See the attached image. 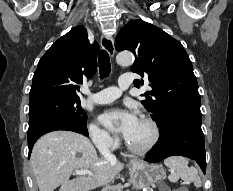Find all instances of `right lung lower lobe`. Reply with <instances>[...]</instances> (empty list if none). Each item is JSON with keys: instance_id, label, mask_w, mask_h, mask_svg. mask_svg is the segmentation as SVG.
I'll list each match as a JSON object with an SVG mask.
<instances>
[{"instance_id": "obj_1", "label": "right lung lower lobe", "mask_w": 233, "mask_h": 191, "mask_svg": "<svg viewBox=\"0 0 233 191\" xmlns=\"http://www.w3.org/2000/svg\"><path fill=\"white\" fill-rule=\"evenodd\" d=\"M55 130H68L83 134L88 136V131L86 127L74 123L70 120L60 119V118H41L35 123L29 125L28 129V147H29V157L33 148L34 143L43 134L55 131Z\"/></svg>"}]
</instances>
